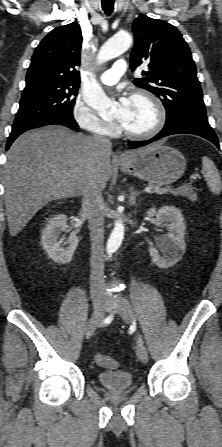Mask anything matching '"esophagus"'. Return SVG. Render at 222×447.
I'll return each mask as SVG.
<instances>
[{
	"instance_id": "34e87169",
	"label": "esophagus",
	"mask_w": 222,
	"mask_h": 447,
	"mask_svg": "<svg viewBox=\"0 0 222 447\" xmlns=\"http://www.w3.org/2000/svg\"><path fill=\"white\" fill-rule=\"evenodd\" d=\"M117 159H119L120 161H122V160L124 159V154L118 152V153H117Z\"/></svg>"
}]
</instances>
